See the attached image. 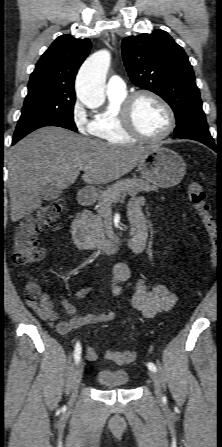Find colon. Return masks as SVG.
Instances as JSON below:
<instances>
[{
    "label": "colon",
    "mask_w": 222,
    "mask_h": 447,
    "mask_svg": "<svg viewBox=\"0 0 222 447\" xmlns=\"http://www.w3.org/2000/svg\"><path fill=\"white\" fill-rule=\"evenodd\" d=\"M188 197L196 208L203 227L211 238L210 263L216 262V239L218 228L207 203L206 193L197 181H191L187 188ZM64 199H55L26 216L16 227L12 239V260L20 267L30 266L45 256V248L38 240V234L53 226L65 210ZM41 295V286L36 281H29L25 287L26 301L36 302ZM106 358L116 364H130L136 359L134 351H107Z\"/></svg>",
    "instance_id": "obj_1"
}]
</instances>
